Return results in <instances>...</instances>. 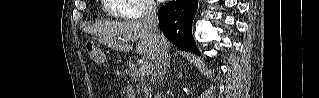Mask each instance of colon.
Here are the masks:
<instances>
[{
    "mask_svg": "<svg viewBox=\"0 0 319 98\" xmlns=\"http://www.w3.org/2000/svg\"><path fill=\"white\" fill-rule=\"evenodd\" d=\"M86 50L93 63L101 65L105 62L102 51L93 42L88 41L86 43Z\"/></svg>",
    "mask_w": 319,
    "mask_h": 98,
    "instance_id": "colon-1",
    "label": "colon"
}]
</instances>
